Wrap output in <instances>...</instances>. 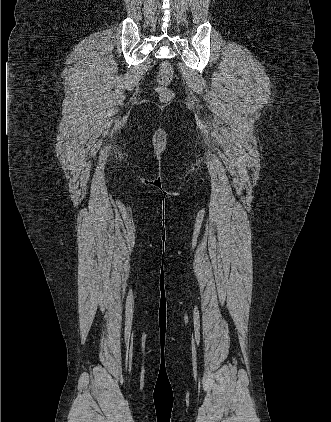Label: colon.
<instances>
[{
    "instance_id": "1",
    "label": "colon",
    "mask_w": 331,
    "mask_h": 422,
    "mask_svg": "<svg viewBox=\"0 0 331 422\" xmlns=\"http://www.w3.org/2000/svg\"><path fill=\"white\" fill-rule=\"evenodd\" d=\"M173 76V67L169 62H162L159 66V73L157 76V85L155 91L162 102H169L173 99L174 93L169 88V83Z\"/></svg>"
}]
</instances>
